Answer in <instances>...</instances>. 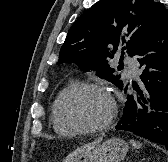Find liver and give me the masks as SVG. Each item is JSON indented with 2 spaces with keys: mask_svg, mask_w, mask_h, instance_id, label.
Returning <instances> with one entry per match:
<instances>
[{
  "mask_svg": "<svg viewBox=\"0 0 168 162\" xmlns=\"http://www.w3.org/2000/svg\"><path fill=\"white\" fill-rule=\"evenodd\" d=\"M100 142H101V139H98L97 141H94L92 143H89V144L83 145L81 147H78L73 153H71L67 156V158L65 159L64 162H69L74 157H76V156H78V155H80L84 152H87L89 150L94 149Z\"/></svg>",
  "mask_w": 168,
  "mask_h": 162,
  "instance_id": "liver-1",
  "label": "liver"
}]
</instances>
